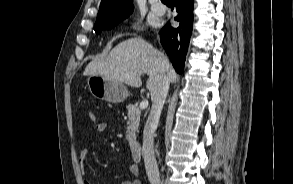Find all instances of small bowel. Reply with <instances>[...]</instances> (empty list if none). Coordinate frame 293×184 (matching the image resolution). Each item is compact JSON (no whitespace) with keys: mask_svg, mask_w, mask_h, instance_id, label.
<instances>
[{"mask_svg":"<svg viewBox=\"0 0 293 184\" xmlns=\"http://www.w3.org/2000/svg\"><path fill=\"white\" fill-rule=\"evenodd\" d=\"M106 124L104 122H97L95 125H94V129L97 133H103L105 132L106 130ZM89 156V151L87 149L83 150L81 153H80V156H79V164H80V169L81 171L84 173L85 170H86V160ZM130 171L134 174V175H137L138 174V168L135 164H132L130 166ZM83 184H91V182L88 180V179H84L83 180ZM121 184H141L140 180L138 179H134V180H126V181H123Z\"/></svg>","mask_w":293,"mask_h":184,"instance_id":"obj_1","label":"small bowel"}]
</instances>
